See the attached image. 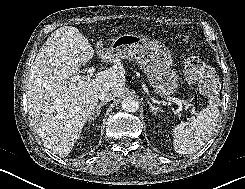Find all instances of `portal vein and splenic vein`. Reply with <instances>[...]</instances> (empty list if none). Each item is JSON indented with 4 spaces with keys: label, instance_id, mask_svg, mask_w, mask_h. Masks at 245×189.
Instances as JSON below:
<instances>
[{
    "label": "portal vein and splenic vein",
    "instance_id": "1",
    "mask_svg": "<svg viewBox=\"0 0 245 189\" xmlns=\"http://www.w3.org/2000/svg\"><path fill=\"white\" fill-rule=\"evenodd\" d=\"M94 72H95V68L94 67H90L87 70V76L77 75V76L73 77V80L74 81H82V80H84L86 78H91L93 76ZM174 100H175V102L177 104H184L186 107H191V104H189L187 101H184V100H181V99H177V98H174ZM192 114H196L194 109H192Z\"/></svg>",
    "mask_w": 245,
    "mask_h": 189
}]
</instances>
